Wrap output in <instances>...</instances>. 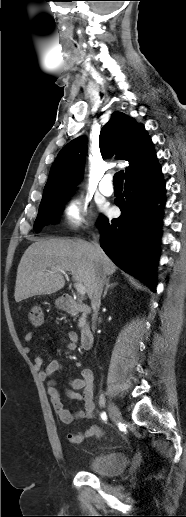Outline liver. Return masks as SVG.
I'll return each instance as SVG.
<instances>
[{
  "instance_id": "liver-1",
  "label": "liver",
  "mask_w": 186,
  "mask_h": 517,
  "mask_svg": "<svg viewBox=\"0 0 186 517\" xmlns=\"http://www.w3.org/2000/svg\"><path fill=\"white\" fill-rule=\"evenodd\" d=\"M51 267L70 271L73 281L85 286L90 299L97 272L102 270L106 275H112L117 269L104 252L99 256L95 246L84 240H37L24 252L18 265L15 301L19 303L35 295L52 294L62 289L64 277Z\"/></svg>"
}]
</instances>
